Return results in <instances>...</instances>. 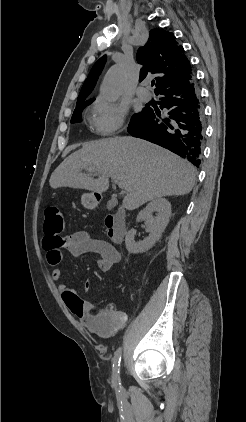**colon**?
Wrapping results in <instances>:
<instances>
[{
  "mask_svg": "<svg viewBox=\"0 0 246 422\" xmlns=\"http://www.w3.org/2000/svg\"><path fill=\"white\" fill-rule=\"evenodd\" d=\"M65 221L58 204H52L45 210L44 229L47 234L59 235L64 231Z\"/></svg>",
  "mask_w": 246,
  "mask_h": 422,
  "instance_id": "1",
  "label": "colon"
}]
</instances>
